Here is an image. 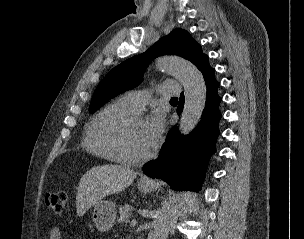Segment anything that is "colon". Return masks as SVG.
Listing matches in <instances>:
<instances>
[{"instance_id":"colon-1","label":"colon","mask_w":304,"mask_h":239,"mask_svg":"<svg viewBox=\"0 0 304 239\" xmlns=\"http://www.w3.org/2000/svg\"><path fill=\"white\" fill-rule=\"evenodd\" d=\"M45 202L54 212H62L67 203V194L63 191L48 193Z\"/></svg>"}]
</instances>
